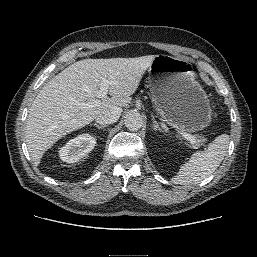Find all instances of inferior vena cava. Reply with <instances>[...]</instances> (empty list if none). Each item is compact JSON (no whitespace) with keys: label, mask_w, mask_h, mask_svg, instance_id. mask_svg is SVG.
Returning <instances> with one entry per match:
<instances>
[{"label":"inferior vena cava","mask_w":257,"mask_h":257,"mask_svg":"<svg viewBox=\"0 0 257 257\" xmlns=\"http://www.w3.org/2000/svg\"><path fill=\"white\" fill-rule=\"evenodd\" d=\"M121 112L122 109L120 107L113 106L100 111L95 120L101 125L112 124L119 119Z\"/></svg>","instance_id":"inferior-vena-cava-1"}]
</instances>
